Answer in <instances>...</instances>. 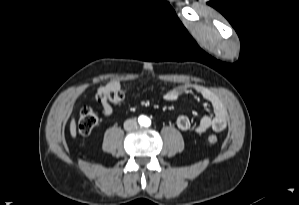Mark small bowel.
Returning a JSON list of instances; mask_svg holds the SVG:
<instances>
[{
	"instance_id": "small-bowel-1",
	"label": "small bowel",
	"mask_w": 299,
	"mask_h": 205,
	"mask_svg": "<svg viewBox=\"0 0 299 205\" xmlns=\"http://www.w3.org/2000/svg\"><path fill=\"white\" fill-rule=\"evenodd\" d=\"M123 83L119 80H112L98 89V95H105L111 91L121 89ZM193 91L198 93L209 102L213 109L212 115L203 116L193 127L196 133L202 134L212 129L216 132H222L227 125L228 114L221 97L211 89L194 83H184L168 89L164 94L166 101H176ZM101 111L104 115L109 116L113 113L111 104L103 102L100 104ZM176 125L181 131L192 129V123L188 116L180 115L176 120Z\"/></svg>"
}]
</instances>
